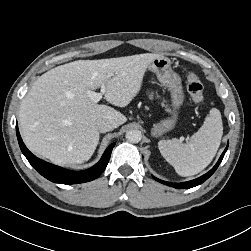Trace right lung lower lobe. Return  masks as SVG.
<instances>
[{
	"label": "right lung lower lobe",
	"mask_w": 251,
	"mask_h": 251,
	"mask_svg": "<svg viewBox=\"0 0 251 251\" xmlns=\"http://www.w3.org/2000/svg\"><path fill=\"white\" fill-rule=\"evenodd\" d=\"M16 134L18 143L22 153L28 159L29 163L46 179L60 184H78L84 183L99 177L105 170L113 147L115 143L110 144L105 150L102 158L91 168L84 171H72L61 168L59 166L45 162L35 155H33L24 145L21 136L19 134L18 126L16 124Z\"/></svg>",
	"instance_id": "right-lung-lower-lobe-1"
}]
</instances>
